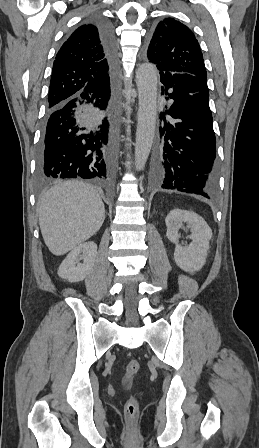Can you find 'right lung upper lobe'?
<instances>
[{
  "label": "right lung upper lobe",
  "mask_w": 259,
  "mask_h": 448,
  "mask_svg": "<svg viewBox=\"0 0 259 448\" xmlns=\"http://www.w3.org/2000/svg\"><path fill=\"white\" fill-rule=\"evenodd\" d=\"M109 84V63L98 29L93 24H83L67 38L55 57L48 107L80 94L101 91Z\"/></svg>",
  "instance_id": "obj_1"
}]
</instances>
